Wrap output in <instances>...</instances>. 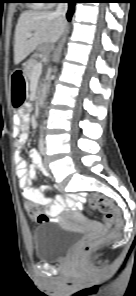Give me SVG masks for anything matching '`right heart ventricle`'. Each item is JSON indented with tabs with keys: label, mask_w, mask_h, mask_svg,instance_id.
Returning a JSON list of instances; mask_svg holds the SVG:
<instances>
[{
	"label": "right heart ventricle",
	"mask_w": 136,
	"mask_h": 296,
	"mask_svg": "<svg viewBox=\"0 0 136 296\" xmlns=\"http://www.w3.org/2000/svg\"><path fill=\"white\" fill-rule=\"evenodd\" d=\"M32 5L34 7H36V8H43V7H47L48 6V4L47 3H44L43 0H38L35 3H33Z\"/></svg>",
	"instance_id": "1"
}]
</instances>
